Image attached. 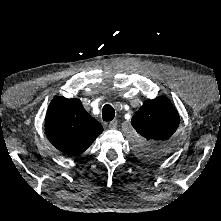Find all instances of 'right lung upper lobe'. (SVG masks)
<instances>
[{
    "mask_svg": "<svg viewBox=\"0 0 221 221\" xmlns=\"http://www.w3.org/2000/svg\"><path fill=\"white\" fill-rule=\"evenodd\" d=\"M102 131L101 124L85 111L80 100L56 97L50 103L45 119L46 136L66 155L82 154Z\"/></svg>",
    "mask_w": 221,
    "mask_h": 221,
    "instance_id": "cb5924a9",
    "label": "right lung upper lobe"
}]
</instances>
